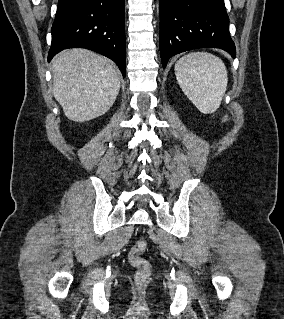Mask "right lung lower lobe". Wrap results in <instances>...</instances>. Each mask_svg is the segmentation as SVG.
<instances>
[{
	"instance_id": "right-lung-lower-lobe-1",
	"label": "right lung lower lobe",
	"mask_w": 284,
	"mask_h": 319,
	"mask_svg": "<svg viewBox=\"0 0 284 319\" xmlns=\"http://www.w3.org/2000/svg\"><path fill=\"white\" fill-rule=\"evenodd\" d=\"M125 0H59L48 61L81 47L112 59L125 77Z\"/></svg>"
}]
</instances>
